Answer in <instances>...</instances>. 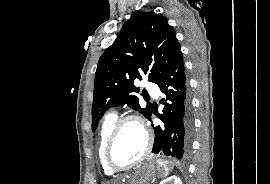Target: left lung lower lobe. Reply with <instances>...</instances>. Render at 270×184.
Segmentation results:
<instances>
[{
	"mask_svg": "<svg viewBox=\"0 0 270 184\" xmlns=\"http://www.w3.org/2000/svg\"><path fill=\"white\" fill-rule=\"evenodd\" d=\"M157 85L165 94V98L161 100L165 105L164 114L160 115L164 129L160 126L154 127L155 140L152 152L184 162L191 153L194 124L181 51L175 56Z\"/></svg>",
	"mask_w": 270,
	"mask_h": 184,
	"instance_id": "obj_1",
	"label": "left lung lower lobe"
}]
</instances>
